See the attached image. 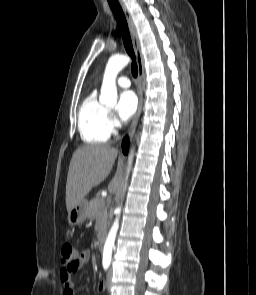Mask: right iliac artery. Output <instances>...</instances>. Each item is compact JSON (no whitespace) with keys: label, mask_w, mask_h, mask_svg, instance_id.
Segmentation results:
<instances>
[{"label":"right iliac artery","mask_w":256,"mask_h":295,"mask_svg":"<svg viewBox=\"0 0 256 295\" xmlns=\"http://www.w3.org/2000/svg\"><path fill=\"white\" fill-rule=\"evenodd\" d=\"M109 263H107V262H105V263H103V268H104V270H107L108 268H109Z\"/></svg>","instance_id":"obj_1"}]
</instances>
